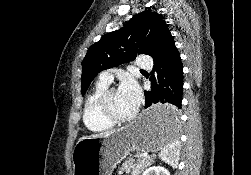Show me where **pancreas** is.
I'll list each match as a JSON object with an SVG mask.
<instances>
[{"instance_id": "cf45deb5", "label": "pancreas", "mask_w": 251, "mask_h": 175, "mask_svg": "<svg viewBox=\"0 0 251 175\" xmlns=\"http://www.w3.org/2000/svg\"><path fill=\"white\" fill-rule=\"evenodd\" d=\"M150 161V155H147V157H145V155H142V153H139V151H137L135 155H129L126 161L122 163L121 167H119V173L126 171V173H131V175H140L144 167L150 165Z\"/></svg>"}]
</instances>
